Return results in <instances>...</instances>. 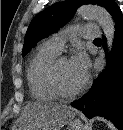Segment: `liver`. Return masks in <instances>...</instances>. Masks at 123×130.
Returning <instances> with one entry per match:
<instances>
[{"label":"liver","instance_id":"6515ba94","mask_svg":"<svg viewBox=\"0 0 123 130\" xmlns=\"http://www.w3.org/2000/svg\"><path fill=\"white\" fill-rule=\"evenodd\" d=\"M75 116V110L54 102H28L18 120L19 130H60Z\"/></svg>","mask_w":123,"mask_h":130}]
</instances>
